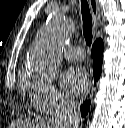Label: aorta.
<instances>
[{
	"instance_id": "1",
	"label": "aorta",
	"mask_w": 125,
	"mask_h": 128,
	"mask_svg": "<svg viewBox=\"0 0 125 128\" xmlns=\"http://www.w3.org/2000/svg\"><path fill=\"white\" fill-rule=\"evenodd\" d=\"M72 32L73 24L62 16L53 17L38 31L29 56L31 68L38 77H55L61 49Z\"/></svg>"
}]
</instances>
